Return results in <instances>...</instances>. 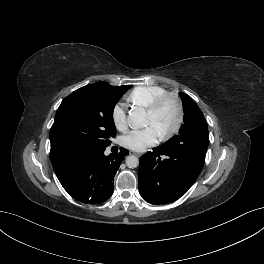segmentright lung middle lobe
<instances>
[{
    "label": "right lung middle lobe",
    "instance_id": "right-lung-middle-lobe-1",
    "mask_svg": "<svg viewBox=\"0 0 264 264\" xmlns=\"http://www.w3.org/2000/svg\"><path fill=\"white\" fill-rule=\"evenodd\" d=\"M130 88L97 82L74 91L57 110L50 132L51 147L69 143L109 146V139L116 135L114 107Z\"/></svg>",
    "mask_w": 264,
    "mask_h": 264
}]
</instances>
